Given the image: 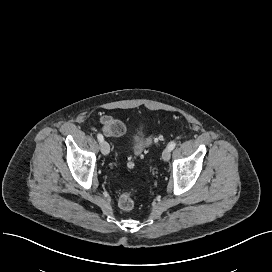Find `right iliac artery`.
I'll use <instances>...</instances> for the list:
<instances>
[{"label":"right iliac artery","mask_w":272,"mask_h":272,"mask_svg":"<svg viewBox=\"0 0 272 272\" xmlns=\"http://www.w3.org/2000/svg\"><path fill=\"white\" fill-rule=\"evenodd\" d=\"M97 139L99 142H102L104 140L103 136L101 134L97 135Z\"/></svg>","instance_id":"82829eb1"}]
</instances>
